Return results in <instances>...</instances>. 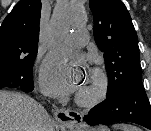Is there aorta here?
Returning <instances> with one entry per match:
<instances>
[{
	"instance_id": "obj_1",
	"label": "aorta",
	"mask_w": 151,
	"mask_h": 131,
	"mask_svg": "<svg viewBox=\"0 0 151 131\" xmlns=\"http://www.w3.org/2000/svg\"><path fill=\"white\" fill-rule=\"evenodd\" d=\"M58 28L62 30H70L75 27L76 21L70 16H60L56 22Z\"/></svg>"
}]
</instances>
